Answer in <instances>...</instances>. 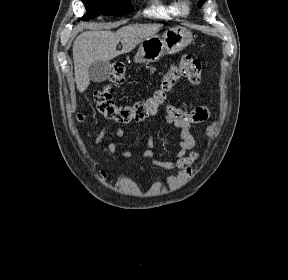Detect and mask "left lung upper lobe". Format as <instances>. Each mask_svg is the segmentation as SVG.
I'll use <instances>...</instances> for the list:
<instances>
[{
    "instance_id": "5c2ea615",
    "label": "left lung upper lobe",
    "mask_w": 288,
    "mask_h": 280,
    "mask_svg": "<svg viewBox=\"0 0 288 280\" xmlns=\"http://www.w3.org/2000/svg\"><path fill=\"white\" fill-rule=\"evenodd\" d=\"M206 0H200L199 1V7H201V5L205 2Z\"/></svg>"
}]
</instances>
